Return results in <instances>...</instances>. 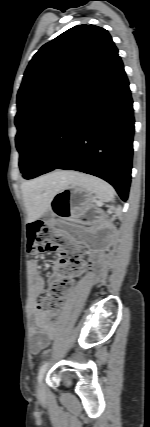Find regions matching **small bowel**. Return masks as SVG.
<instances>
[{
  "instance_id": "obj_1",
  "label": "small bowel",
  "mask_w": 150,
  "mask_h": 427,
  "mask_svg": "<svg viewBox=\"0 0 150 427\" xmlns=\"http://www.w3.org/2000/svg\"><path fill=\"white\" fill-rule=\"evenodd\" d=\"M49 265L52 268H57L60 264L57 261L51 260ZM34 286L37 292H42L45 288V280L40 274V266L36 260L30 263ZM55 276L53 277V279ZM57 328L51 324L46 312L38 309L35 312L34 326L31 329L30 350L33 354L39 353L46 348L49 343L56 337Z\"/></svg>"
}]
</instances>
